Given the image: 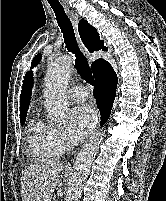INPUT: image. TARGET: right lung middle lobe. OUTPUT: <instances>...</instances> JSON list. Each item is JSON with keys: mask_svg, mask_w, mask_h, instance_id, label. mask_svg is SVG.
I'll list each match as a JSON object with an SVG mask.
<instances>
[{"mask_svg": "<svg viewBox=\"0 0 166 201\" xmlns=\"http://www.w3.org/2000/svg\"><path fill=\"white\" fill-rule=\"evenodd\" d=\"M25 119H26V117L20 118V120H21V125H23V124H24Z\"/></svg>", "mask_w": 166, "mask_h": 201, "instance_id": "obj_1", "label": "right lung middle lobe"}]
</instances>
